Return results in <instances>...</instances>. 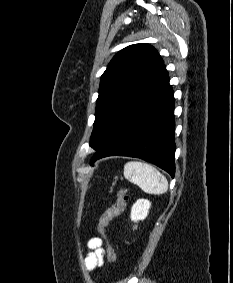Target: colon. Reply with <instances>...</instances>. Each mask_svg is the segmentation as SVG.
I'll return each mask as SVG.
<instances>
[{"mask_svg": "<svg viewBox=\"0 0 233 283\" xmlns=\"http://www.w3.org/2000/svg\"><path fill=\"white\" fill-rule=\"evenodd\" d=\"M127 199L128 197L126 190L122 187L119 188L116 194V202L101 215L98 223V230L106 241V255L108 261L112 264L116 262L117 256L113 247L106 240L105 232L110 221L123 212L126 206Z\"/></svg>", "mask_w": 233, "mask_h": 283, "instance_id": "obj_1", "label": "colon"}]
</instances>
